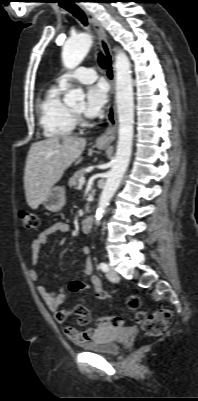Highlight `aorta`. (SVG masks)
Masks as SVG:
<instances>
[{"label":"aorta","mask_w":198,"mask_h":401,"mask_svg":"<svg viewBox=\"0 0 198 401\" xmlns=\"http://www.w3.org/2000/svg\"><path fill=\"white\" fill-rule=\"evenodd\" d=\"M92 44L89 34H80L70 38L63 46L62 60L65 67H77L87 55ZM116 70V104L118 113V143L113 165L108 173L105 186L101 192L96 211V224L100 223L110 200L117 191L126 172L132 153L134 97L131 76V63L123 51H117L115 57ZM84 93L80 89H71L64 96V103L74 105L83 101Z\"/></svg>","instance_id":"obj_1"}]
</instances>
